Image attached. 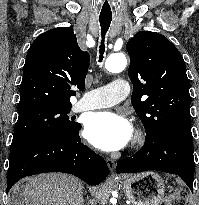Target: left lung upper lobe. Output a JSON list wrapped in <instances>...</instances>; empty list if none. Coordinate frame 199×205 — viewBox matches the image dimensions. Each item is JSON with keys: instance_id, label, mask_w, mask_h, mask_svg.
<instances>
[{"instance_id": "left-lung-upper-lobe-1", "label": "left lung upper lobe", "mask_w": 199, "mask_h": 205, "mask_svg": "<svg viewBox=\"0 0 199 205\" xmlns=\"http://www.w3.org/2000/svg\"><path fill=\"white\" fill-rule=\"evenodd\" d=\"M126 49L131 59V103L146 137L158 138L177 127L191 128L189 80L174 44L159 33L140 31Z\"/></svg>"}]
</instances>
